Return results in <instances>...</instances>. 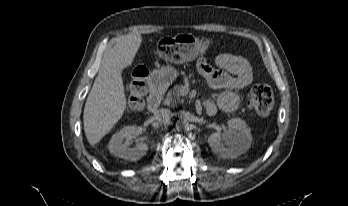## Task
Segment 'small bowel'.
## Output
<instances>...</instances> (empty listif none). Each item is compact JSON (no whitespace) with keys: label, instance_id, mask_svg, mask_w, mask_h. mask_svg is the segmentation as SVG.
<instances>
[{"label":"small bowel","instance_id":"small-bowel-1","mask_svg":"<svg viewBox=\"0 0 348 206\" xmlns=\"http://www.w3.org/2000/svg\"><path fill=\"white\" fill-rule=\"evenodd\" d=\"M215 65L217 68H213L205 59H200L197 67L210 87L224 90L218 96V106L224 111H233L241 101L236 90L252 82V68L242 56L229 53L219 54L215 58ZM203 109L207 115H212L216 107L211 100H205Z\"/></svg>","mask_w":348,"mask_h":206}]
</instances>
